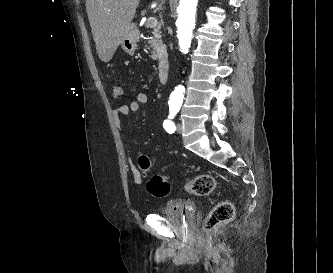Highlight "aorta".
I'll use <instances>...</instances> for the list:
<instances>
[{
    "label": "aorta",
    "mask_w": 333,
    "mask_h": 273,
    "mask_svg": "<svg viewBox=\"0 0 333 273\" xmlns=\"http://www.w3.org/2000/svg\"><path fill=\"white\" fill-rule=\"evenodd\" d=\"M197 5L198 0H180L177 8V38L180 51L184 54L188 53L191 45ZM184 91L183 86L176 87L170 96V103L179 106L183 101Z\"/></svg>",
    "instance_id": "762f6f07"
}]
</instances>
